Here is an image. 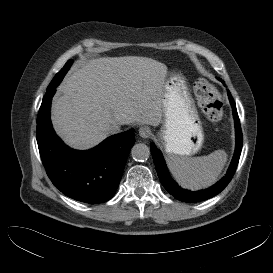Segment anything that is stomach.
I'll return each mask as SVG.
<instances>
[{"instance_id":"1","label":"stomach","mask_w":273,"mask_h":273,"mask_svg":"<svg viewBox=\"0 0 273 273\" xmlns=\"http://www.w3.org/2000/svg\"><path fill=\"white\" fill-rule=\"evenodd\" d=\"M161 103L159 137L166 154L185 157L197 153L204 143L203 127L187 82L179 71L168 72Z\"/></svg>"}]
</instances>
